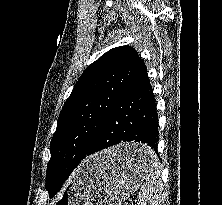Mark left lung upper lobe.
I'll return each instance as SVG.
<instances>
[{
	"instance_id": "obj_1",
	"label": "left lung upper lobe",
	"mask_w": 222,
	"mask_h": 205,
	"mask_svg": "<svg viewBox=\"0 0 222 205\" xmlns=\"http://www.w3.org/2000/svg\"><path fill=\"white\" fill-rule=\"evenodd\" d=\"M141 62L135 49L120 46L110 49L83 72L60 112L51 140L46 177L49 194L64 176L56 167L59 159L68 151L83 155L89 150Z\"/></svg>"
}]
</instances>
